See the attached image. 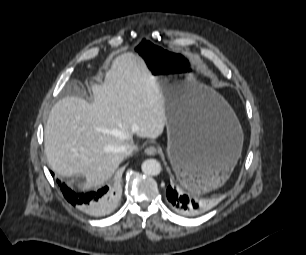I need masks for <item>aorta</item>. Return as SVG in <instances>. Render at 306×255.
I'll use <instances>...</instances> for the list:
<instances>
[{
  "label": "aorta",
  "instance_id": "1",
  "mask_svg": "<svg viewBox=\"0 0 306 255\" xmlns=\"http://www.w3.org/2000/svg\"><path fill=\"white\" fill-rule=\"evenodd\" d=\"M142 172L146 175L157 176L161 172V164L156 159H147L141 165Z\"/></svg>",
  "mask_w": 306,
  "mask_h": 255
}]
</instances>
